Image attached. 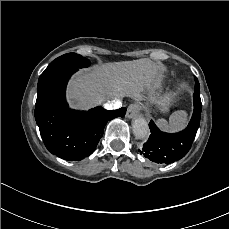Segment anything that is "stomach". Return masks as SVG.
Wrapping results in <instances>:
<instances>
[{
    "instance_id": "1",
    "label": "stomach",
    "mask_w": 229,
    "mask_h": 229,
    "mask_svg": "<svg viewBox=\"0 0 229 229\" xmlns=\"http://www.w3.org/2000/svg\"><path fill=\"white\" fill-rule=\"evenodd\" d=\"M157 109L161 112V113H167L169 112V106L166 104L163 105H158L156 104Z\"/></svg>"
}]
</instances>
